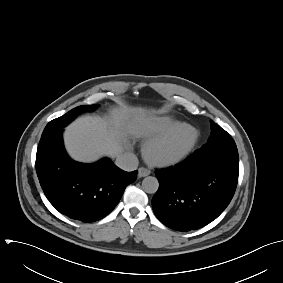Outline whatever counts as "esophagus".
Segmentation results:
<instances>
[{
  "mask_svg": "<svg viewBox=\"0 0 283 283\" xmlns=\"http://www.w3.org/2000/svg\"><path fill=\"white\" fill-rule=\"evenodd\" d=\"M151 171L147 168L141 167L138 169V176L141 177H145L150 175Z\"/></svg>",
  "mask_w": 283,
  "mask_h": 283,
  "instance_id": "1",
  "label": "esophagus"
}]
</instances>
